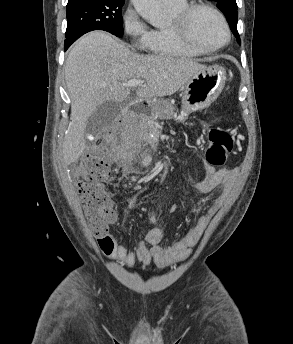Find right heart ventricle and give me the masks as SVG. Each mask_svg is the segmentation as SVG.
Wrapping results in <instances>:
<instances>
[{"mask_svg":"<svg viewBox=\"0 0 293 344\" xmlns=\"http://www.w3.org/2000/svg\"><path fill=\"white\" fill-rule=\"evenodd\" d=\"M188 5L187 0L164 4L170 19ZM145 49L154 56L168 58H194L200 55L187 48L173 35L170 24L163 28L152 29Z\"/></svg>","mask_w":293,"mask_h":344,"instance_id":"obj_1","label":"right heart ventricle"}]
</instances>
